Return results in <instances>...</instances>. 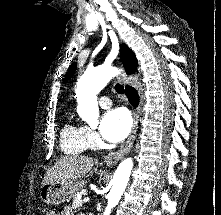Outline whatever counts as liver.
I'll use <instances>...</instances> for the list:
<instances>
[{
    "label": "liver",
    "mask_w": 221,
    "mask_h": 215,
    "mask_svg": "<svg viewBox=\"0 0 221 215\" xmlns=\"http://www.w3.org/2000/svg\"><path fill=\"white\" fill-rule=\"evenodd\" d=\"M95 160L86 156H63L58 159L54 166L47 170L42 185L56 182L61 184H71L89 173Z\"/></svg>",
    "instance_id": "1"
}]
</instances>
